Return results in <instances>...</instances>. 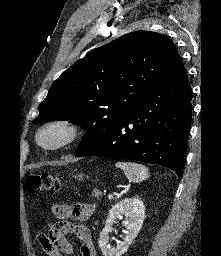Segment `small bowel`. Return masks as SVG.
Masks as SVG:
<instances>
[{
	"mask_svg": "<svg viewBox=\"0 0 221 256\" xmlns=\"http://www.w3.org/2000/svg\"><path fill=\"white\" fill-rule=\"evenodd\" d=\"M94 210V205L90 204L54 206L55 215L63 221L50 224L47 232L40 235L39 243L44 256H62V253L73 255V246L67 238L69 234H74L80 240L81 256H96L91 235L84 225Z\"/></svg>",
	"mask_w": 221,
	"mask_h": 256,
	"instance_id": "small-bowel-1",
	"label": "small bowel"
}]
</instances>
